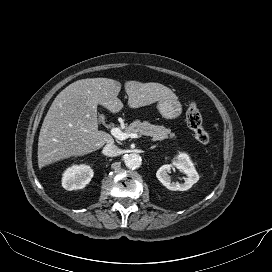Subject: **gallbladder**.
<instances>
[{"label":"gallbladder","instance_id":"obj_1","mask_svg":"<svg viewBox=\"0 0 272 272\" xmlns=\"http://www.w3.org/2000/svg\"><path fill=\"white\" fill-rule=\"evenodd\" d=\"M100 121H101V122L104 121V115H100Z\"/></svg>","mask_w":272,"mask_h":272}]
</instances>
